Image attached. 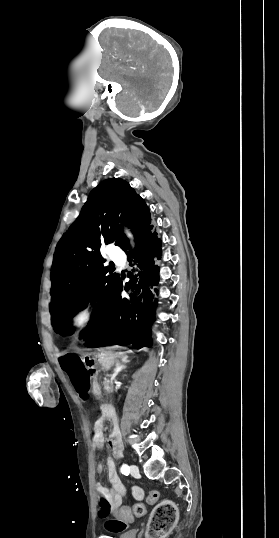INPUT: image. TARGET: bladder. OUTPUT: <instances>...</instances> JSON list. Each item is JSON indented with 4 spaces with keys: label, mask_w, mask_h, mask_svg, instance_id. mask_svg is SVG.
I'll list each match as a JSON object with an SVG mask.
<instances>
[{
    "label": "bladder",
    "mask_w": 279,
    "mask_h": 538,
    "mask_svg": "<svg viewBox=\"0 0 279 538\" xmlns=\"http://www.w3.org/2000/svg\"><path fill=\"white\" fill-rule=\"evenodd\" d=\"M118 538H137L136 532H120Z\"/></svg>",
    "instance_id": "bladder-1"
}]
</instances>
